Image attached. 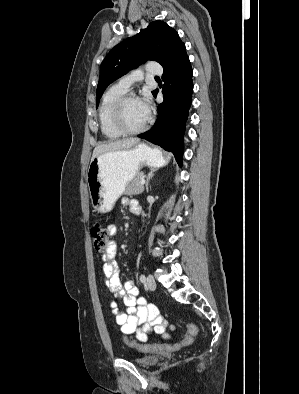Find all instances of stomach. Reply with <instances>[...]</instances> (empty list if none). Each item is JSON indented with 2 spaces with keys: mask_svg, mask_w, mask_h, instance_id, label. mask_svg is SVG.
Returning <instances> with one entry per match:
<instances>
[{
  "mask_svg": "<svg viewBox=\"0 0 299 394\" xmlns=\"http://www.w3.org/2000/svg\"><path fill=\"white\" fill-rule=\"evenodd\" d=\"M167 163L158 149L144 143L98 155L91 160L86 178L94 211H110L143 165L158 168Z\"/></svg>",
  "mask_w": 299,
  "mask_h": 394,
  "instance_id": "stomach-1",
  "label": "stomach"
}]
</instances>
